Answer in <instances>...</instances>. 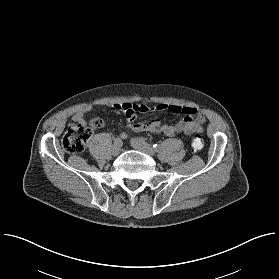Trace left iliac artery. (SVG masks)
Wrapping results in <instances>:
<instances>
[{
	"mask_svg": "<svg viewBox=\"0 0 279 279\" xmlns=\"http://www.w3.org/2000/svg\"><path fill=\"white\" fill-rule=\"evenodd\" d=\"M153 148L156 152H159L162 148V145L161 144H153Z\"/></svg>",
	"mask_w": 279,
	"mask_h": 279,
	"instance_id": "1",
	"label": "left iliac artery"
}]
</instances>
